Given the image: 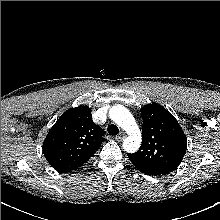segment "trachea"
Wrapping results in <instances>:
<instances>
[{"mask_svg": "<svg viewBox=\"0 0 220 220\" xmlns=\"http://www.w3.org/2000/svg\"><path fill=\"white\" fill-rule=\"evenodd\" d=\"M107 131L109 134L117 135L119 133V129L116 125L111 124L108 126Z\"/></svg>", "mask_w": 220, "mask_h": 220, "instance_id": "trachea-1", "label": "trachea"}]
</instances>
